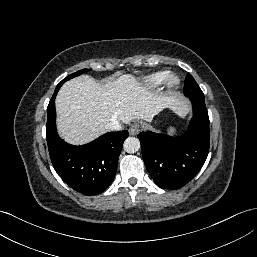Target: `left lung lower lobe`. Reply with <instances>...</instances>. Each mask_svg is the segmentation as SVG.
<instances>
[{
	"instance_id": "1",
	"label": "left lung lower lobe",
	"mask_w": 257,
	"mask_h": 257,
	"mask_svg": "<svg viewBox=\"0 0 257 257\" xmlns=\"http://www.w3.org/2000/svg\"><path fill=\"white\" fill-rule=\"evenodd\" d=\"M190 100L193 118L183 136L171 137L151 131L138 134L145 166L162 189L186 185L200 171L209 152V116L204 98Z\"/></svg>"
}]
</instances>
